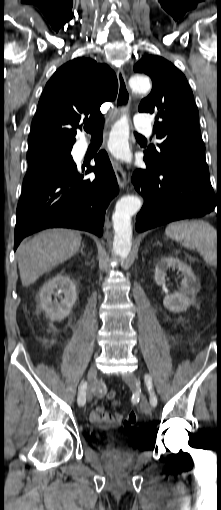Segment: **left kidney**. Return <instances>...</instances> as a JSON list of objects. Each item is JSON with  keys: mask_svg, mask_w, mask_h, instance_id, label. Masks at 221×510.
I'll return each mask as SVG.
<instances>
[{"mask_svg": "<svg viewBox=\"0 0 221 510\" xmlns=\"http://www.w3.org/2000/svg\"><path fill=\"white\" fill-rule=\"evenodd\" d=\"M170 268L181 271L183 279L179 291L166 294L163 305L169 311L179 313L185 311L193 302L198 284L191 267L176 257L168 256L163 257L155 267L154 278L157 285H165L166 272Z\"/></svg>", "mask_w": 221, "mask_h": 510, "instance_id": "1", "label": "left kidney"}]
</instances>
